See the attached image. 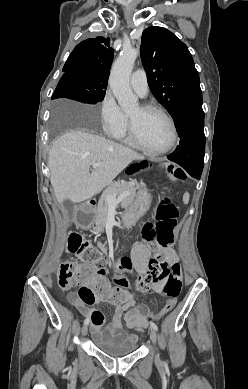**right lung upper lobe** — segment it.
<instances>
[{
  "mask_svg": "<svg viewBox=\"0 0 248 389\" xmlns=\"http://www.w3.org/2000/svg\"><path fill=\"white\" fill-rule=\"evenodd\" d=\"M113 54L109 38L96 37L84 40L74 48L63 71H82L91 80L107 84Z\"/></svg>",
  "mask_w": 248,
  "mask_h": 389,
  "instance_id": "obj_1",
  "label": "right lung upper lobe"
}]
</instances>
